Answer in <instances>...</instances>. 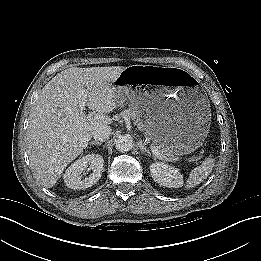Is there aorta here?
I'll return each instance as SVG.
<instances>
[{"instance_id": "762f6f07", "label": "aorta", "mask_w": 261, "mask_h": 261, "mask_svg": "<svg viewBox=\"0 0 261 261\" xmlns=\"http://www.w3.org/2000/svg\"><path fill=\"white\" fill-rule=\"evenodd\" d=\"M133 146V139L130 135H121L115 141V147L119 152H128Z\"/></svg>"}]
</instances>
